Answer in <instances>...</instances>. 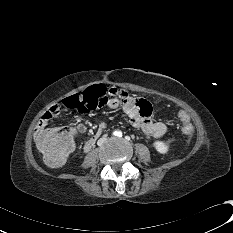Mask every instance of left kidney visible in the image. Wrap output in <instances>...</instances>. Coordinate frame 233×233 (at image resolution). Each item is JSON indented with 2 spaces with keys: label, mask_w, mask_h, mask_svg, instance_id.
Masks as SVG:
<instances>
[{
  "label": "left kidney",
  "mask_w": 233,
  "mask_h": 233,
  "mask_svg": "<svg viewBox=\"0 0 233 233\" xmlns=\"http://www.w3.org/2000/svg\"><path fill=\"white\" fill-rule=\"evenodd\" d=\"M153 146L160 154H166L169 150V146L164 141H155Z\"/></svg>",
  "instance_id": "left-kidney-1"
}]
</instances>
